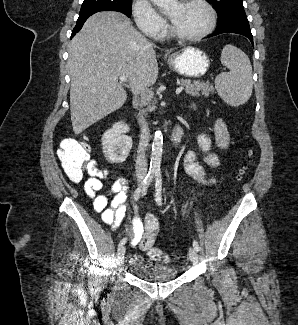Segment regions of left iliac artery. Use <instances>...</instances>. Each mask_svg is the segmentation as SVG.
<instances>
[{"label":"left iliac artery","instance_id":"left-iliac-artery-1","mask_svg":"<svg viewBox=\"0 0 298 325\" xmlns=\"http://www.w3.org/2000/svg\"><path fill=\"white\" fill-rule=\"evenodd\" d=\"M155 180H156V195L155 200L156 203L161 206L162 205V175L160 171H156L155 173ZM193 247L196 251H199V244L196 240H193Z\"/></svg>","mask_w":298,"mask_h":325}]
</instances>
